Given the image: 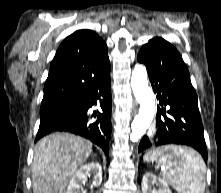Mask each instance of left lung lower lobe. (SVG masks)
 <instances>
[{
  "label": "left lung lower lobe",
  "mask_w": 221,
  "mask_h": 193,
  "mask_svg": "<svg viewBox=\"0 0 221 193\" xmlns=\"http://www.w3.org/2000/svg\"><path fill=\"white\" fill-rule=\"evenodd\" d=\"M137 60L146 66L152 88L162 106L157 108L155 132L142 138L138 152L160 145H186L196 149L207 162L198 98L179 52L148 42L142 46Z\"/></svg>",
  "instance_id": "0a47b994"
}]
</instances>
